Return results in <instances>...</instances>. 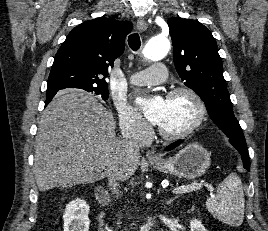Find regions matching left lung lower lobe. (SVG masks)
Instances as JSON below:
<instances>
[{"mask_svg":"<svg viewBox=\"0 0 268 231\" xmlns=\"http://www.w3.org/2000/svg\"><path fill=\"white\" fill-rule=\"evenodd\" d=\"M179 144H181V141L180 140H178V141L170 144L169 146H167L165 148V151H170V150L174 149L175 147H177ZM237 150H238V152L242 156L244 168L247 169L248 171H250V161H249V155L247 153V149H241V148H239Z\"/></svg>","mask_w":268,"mask_h":231,"instance_id":"left-lung-lower-lobe-1","label":"left lung lower lobe"}]
</instances>
